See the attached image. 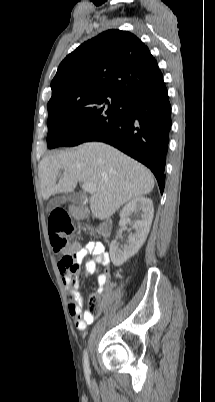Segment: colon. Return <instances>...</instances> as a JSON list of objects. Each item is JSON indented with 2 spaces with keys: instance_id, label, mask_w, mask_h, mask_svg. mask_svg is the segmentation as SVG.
Masks as SVG:
<instances>
[{
  "instance_id": "obj_1",
  "label": "colon",
  "mask_w": 215,
  "mask_h": 402,
  "mask_svg": "<svg viewBox=\"0 0 215 402\" xmlns=\"http://www.w3.org/2000/svg\"><path fill=\"white\" fill-rule=\"evenodd\" d=\"M49 238L55 252H61L63 256L60 260L62 267H67L71 272L79 269V264L73 257H76L77 250H82V241H67L66 235L71 234L74 226L69 214L58 209L51 213L48 222ZM100 309L99 299L91 295L88 302V312L96 314Z\"/></svg>"
}]
</instances>
